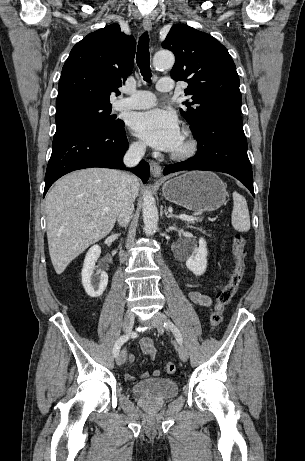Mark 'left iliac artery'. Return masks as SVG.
<instances>
[{
  "label": "left iliac artery",
  "instance_id": "obj_1",
  "mask_svg": "<svg viewBox=\"0 0 305 461\" xmlns=\"http://www.w3.org/2000/svg\"><path fill=\"white\" fill-rule=\"evenodd\" d=\"M164 326L169 327L171 329V331L173 332L176 340L178 341V343L181 344L182 343V336H181V333L178 330V328L173 323H171L170 321L164 323Z\"/></svg>",
  "mask_w": 305,
  "mask_h": 461
}]
</instances>
